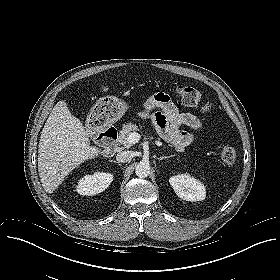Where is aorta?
<instances>
[{
    "label": "aorta",
    "mask_w": 280,
    "mask_h": 280,
    "mask_svg": "<svg viewBox=\"0 0 280 280\" xmlns=\"http://www.w3.org/2000/svg\"><path fill=\"white\" fill-rule=\"evenodd\" d=\"M135 173L140 178H145L150 174V164L145 161H141L137 164Z\"/></svg>",
    "instance_id": "1"
}]
</instances>
